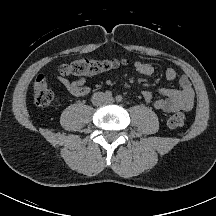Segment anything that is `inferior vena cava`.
Returning <instances> with one entry per match:
<instances>
[{"label":"inferior vena cava","instance_id":"obj_1","mask_svg":"<svg viewBox=\"0 0 216 216\" xmlns=\"http://www.w3.org/2000/svg\"><path fill=\"white\" fill-rule=\"evenodd\" d=\"M92 103L95 106H100L105 103V94L103 92H96L92 96Z\"/></svg>","mask_w":216,"mask_h":216}]
</instances>
